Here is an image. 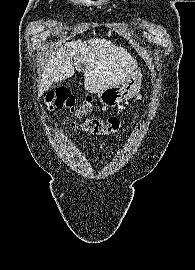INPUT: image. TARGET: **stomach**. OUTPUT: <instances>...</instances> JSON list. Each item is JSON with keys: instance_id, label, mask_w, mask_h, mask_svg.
<instances>
[{"instance_id": "obj_1", "label": "stomach", "mask_w": 195, "mask_h": 270, "mask_svg": "<svg viewBox=\"0 0 195 270\" xmlns=\"http://www.w3.org/2000/svg\"><path fill=\"white\" fill-rule=\"evenodd\" d=\"M140 75L137 71L120 85L111 86L98 93L100 102L108 107H115L124 99L133 97L140 88Z\"/></svg>"}]
</instances>
